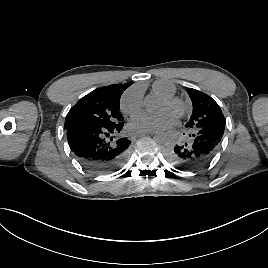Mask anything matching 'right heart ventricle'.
Wrapping results in <instances>:
<instances>
[{"instance_id":"1","label":"right heart ventricle","mask_w":268,"mask_h":268,"mask_svg":"<svg viewBox=\"0 0 268 268\" xmlns=\"http://www.w3.org/2000/svg\"><path fill=\"white\" fill-rule=\"evenodd\" d=\"M153 91L165 98L174 96L176 93V88L174 85L168 82L157 81L153 84Z\"/></svg>"}]
</instances>
